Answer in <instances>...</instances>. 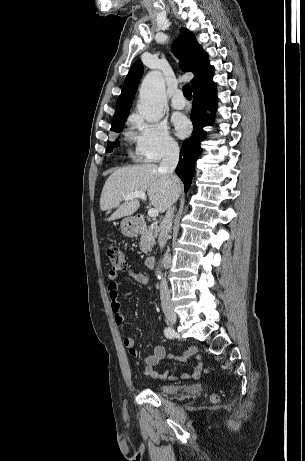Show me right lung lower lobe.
I'll return each mask as SVG.
<instances>
[{"label":"right lung lower lobe","instance_id":"right-lung-lower-lobe-1","mask_svg":"<svg viewBox=\"0 0 305 461\" xmlns=\"http://www.w3.org/2000/svg\"><path fill=\"white\" fill-rule=\"evenodd\" d=\"M212 76L196 85L193 90V107L191 120L194 126L192 136L186 139L180 151V160L176 173L185 185V191L190 187L195 161L201 153L200 142L205 138L203 127L210 125L213 115L206 113V110L215 111L217 106L216 87L212 82Z\"/></svg>","mask_w":305,"mask_h":461}]
</instances>
